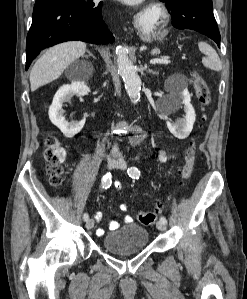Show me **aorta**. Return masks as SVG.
<instances>
[{"mask_svg":"<svg viewBox=\"0 0 247 299\" xmlns=\"http://www.w3.org/2000/svg\"><path fill=\"white\" fill-rule=\"evenodd\" d=\"M118 72L123 78L125 89L131 100L138 101L141 93V79L129 59L127 50L121 46L116 49Z\"/></svg>","mask_w":247,"mask_h":299,"instance_id":"obj_1","label":"aorta"}]
</instances>
